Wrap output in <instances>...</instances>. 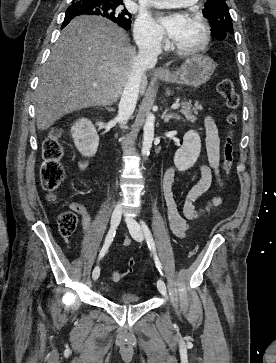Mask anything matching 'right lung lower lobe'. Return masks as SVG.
Masks as SVG:
<instances>
[{
	"mask_svg": "<svg viewBox=\"0 0 276 363\" xmlns=\"http://www.w3.org/2000/svg\"><path fill=\"white\" fill-rule=\"evenodd\" d=\"M77 15H83V14L82 13H78V14H73V15H69V16H66L65 15V19H64V22L62 24V28L65 27Z\"/></svg>",
	"mask_w": 276,
	"mask_h": 363,
	"instance_id": "obj_1",
	"label": "right lung lower lobe"
}]
</instances>
